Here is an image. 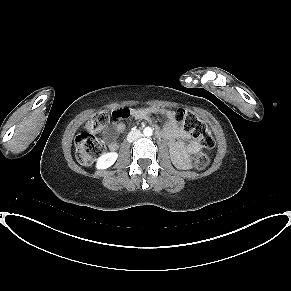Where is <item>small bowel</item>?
Instances as JSON below:
<instances>
[{"label":"small bowel","mask_w":291,"mask_h":291,"mask_svg":"<svg viewBox=\"0 0 291 291\" xmlns=\"http://www.w3.org/2000/svg\"><path fill=\"white\" fill-rule=\"evenodd\" d=\"M154 113H160L166 118L165 125L157 130V134L159 137L169 141L172 156L176 161L180 162L184 156L194 154L200 149V143L183 130L171 110L146 107L132 110L131 115L136 119H143ZM125 128L119 118H112L111 128L105 135V140L111 150H115L118 147L117 136L123 133Z\"/></svg>","instance_id":"1"}]
</instances>
